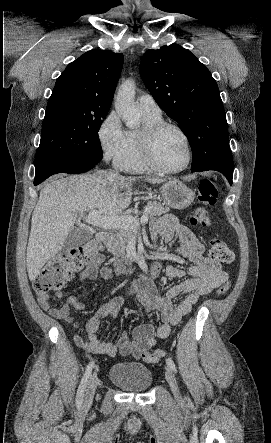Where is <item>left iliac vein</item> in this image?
<instances>
[{
  "label": "left iliac vein",
  "instance_id": "4c4485c4",
  "mask_svg": "<svg viewBox=\"0 0 271 443\" xmlns=\"http://www.w3.org/2000/svg\"><path fill=\"white\" fill-rule=\"evenodd\" d=\"M165 378L176 398H180V391L179 387L175 378V375L173 374L172 370L169 367L165 368Z\"/></svg>",
  "mask_w": 271,
  "mask_h": 443
}]
</instances>
